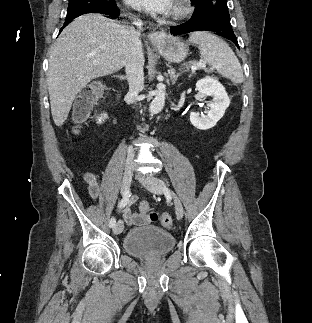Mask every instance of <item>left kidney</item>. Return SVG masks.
<instances>
[{"label":"left kidney","mask_w":312,"mask_h":323,"mask_svg":"<svg viewBox=\"0 0 312 323\" xmlns=\"http://www.w3.org/2000/svg\"><path fill=\"white\" fill-rule=\"evenodd\" d=\"M196 88L200 94L212 96L213 100L208 104V112H205L207 116H200L196 112H190V122L197 130H209V128L216 126L217 122L224 116L230 100L224 86L215 78H211V76L198 80Z\"/></svg>","instance_id":"1"}]
</instances>
